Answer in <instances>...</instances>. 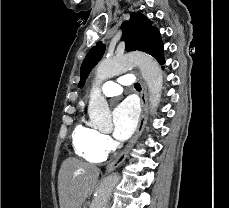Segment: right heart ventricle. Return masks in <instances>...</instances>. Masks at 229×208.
I'll return each instance as SVG.
<instances>
[{
	"label": "right heart ventricle",
	"instance_id": "1",
	"mask_svg": "<svg viewBox=\"0 0 229 208\" xmlns=\"http://www.w3.org/2000/svg\"><path fill=\"white\" fill-rule=\"evenodd\" d=\"M98 131L84 125L82 122L76 124L72 131V148L77 156L88 162L101 161L104 153L100 152L96 146Z\"/></svg>",
	"mask_w": 229,
	"mask_h": 208
}]
</instances>
